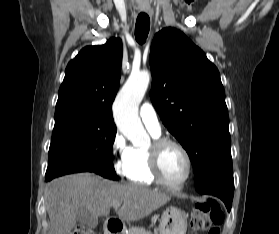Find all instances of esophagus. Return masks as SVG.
<instances>
[{"instance_id": "obj_1", "label": "esophagus", "mask_w": 279, "mask_h": 234, "mask_svg": "<svg viewBox=\"0 0 279 234\" xmlns=\"http://www.w3.org/2000/svg\"><path fill=\"white\" fill-rule=\"evenodd\" d=\"M145 13H147L150 16H152V12H150V11H145Z\"/></svg>"}]
</instances>
